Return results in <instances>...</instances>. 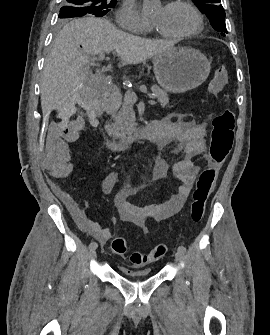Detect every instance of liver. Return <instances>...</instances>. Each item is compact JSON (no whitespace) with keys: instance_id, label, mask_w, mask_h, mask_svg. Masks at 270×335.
Wrapping results in <instances>:
<instances>
[{"instance_id":"1","label":"liver","mask_w":270,"mask_h":335,"mask_svg":"<svg viewBox=\"0 0 270 335\" xmlns=\"http://www.w3.org/2000/svg\"><path fill=\"white\" fill-rule=\"evenodd\" d=\"M171 48L173 44L170 42L147 40L117 30L105 18L90 16L72 20L58 32L45 60L40 84L43 116L50 114L59 100L75 94L81 88L89 76L90 56L116 52L124 66L140 64Z\"/></svg>"}]
</instances>
